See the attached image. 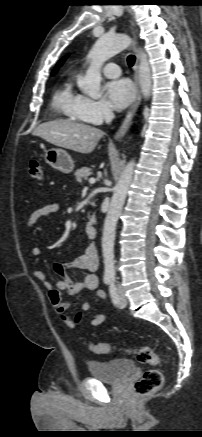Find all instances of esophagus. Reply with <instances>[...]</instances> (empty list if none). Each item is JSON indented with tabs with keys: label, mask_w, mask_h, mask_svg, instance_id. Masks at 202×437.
<instances>
[{
	"label": "esophagus",
	"mask_w": 202,
	"mask_h": 437,
	"mask_svg": "<svg viewBox=\"0 0 202 437\" xmlns=\"http://www.w3.org/2000/svg\"><path fill=\"white\" fill-rule=\"evenodd\" d=\"M133 36L135 39L133 47H134V51L136 53V60H135V64H134V83H135V88H136V97H135L134 101L132 102L130 108L128 109L126 116H125L120 128L116 132L115 139L118 141H120L124 137L126 132L128 131V129L132 123V119L135 116L136 111L141 103V93H140L139 80H138L139 57H138V53H137L135 31H133Z\"/></svg>",
	"instance_id": "obj_1"
}]
</instances>
